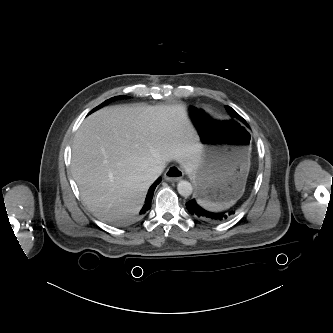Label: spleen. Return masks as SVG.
I'll return each mask as SVG.
<instances>
[{"label": "spleen", "mask_w": 333, "mask_h": 333, "mask_svg": "<svg viewBox=\"0 0 333 333\" xmlns=\"http://www.w3.org/2000/svg\"><path fill=\"white\" fill-rule=\"evenodd\" d=\"M198 204L205 208L206 210L217 212L229 208L231 205H220L214 202H210L205 199H198Z\"/></svg>", "instance_id": "obj_1"}]
</instances>
